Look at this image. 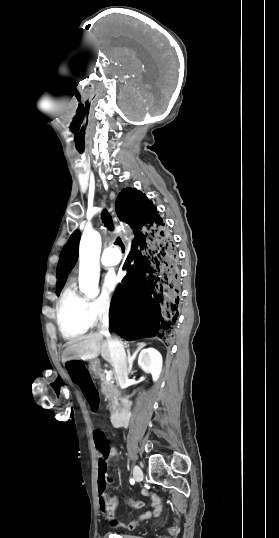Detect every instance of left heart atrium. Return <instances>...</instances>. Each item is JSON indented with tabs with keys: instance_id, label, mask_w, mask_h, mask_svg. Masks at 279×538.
Listing matches in <instances>:
<instances>
[{
	"instance_id": "39dd6f15",
	"label": "left heart atrium",
	"mask_w": 279,
	"mask_h": 538,
	"mask_svg": "<svg viewBox=\"0 0 279 538\" xmlns=\"http://www.w3.org/2000/svg\"><path fill=\"white\" fill-rule=\"evenodd\" d=\"M118 283V277L115 274L107 275L105 279V288L107 291H113Z\"/></svg>"
}]
</instances>
